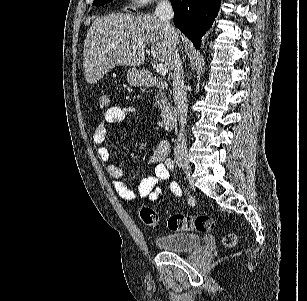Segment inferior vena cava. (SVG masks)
<instances>
[{
    "label": "inferior vena cava",
    "mask_w": 307,
    "mask_h": 301,
    "mask_svg": "<svg viewBox=\"0 0 307 301\" xmlns=\"http://www.w3.org/2000/svg\"><path fill=\"white\" fill-rule=\"evenodd\" d=\"M154 14L155 16H158L163 26H166L168 34L171 36V40L176 42V40H178V32L175 26L169 22L170 18H173L174 16V10L170 0H158L155 6ZM172 60V68L174 74L173 96L179 120V132L174 144V155L175 157H186L188 151L185 126L187 124L188 102L187 94L184 90L183 66L177 46H174L173 48Z\"/></svg>",
    "instance_id": "inferior-vena-cava-1"
}]
</instances>
